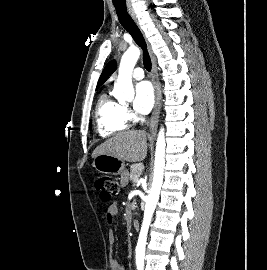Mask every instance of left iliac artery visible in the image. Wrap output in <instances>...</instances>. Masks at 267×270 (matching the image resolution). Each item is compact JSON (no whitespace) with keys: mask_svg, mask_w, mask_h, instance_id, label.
I'll use <instances>...</instances> for the list:
<instances>
[{"mask_svg":"<svg viewBox=\"0 0 267 270\" xmlns=\"http://www.w3.org/2000/svg\"><path fill=\"white\" fill-rule=\"evenodd\" d=\"M137 268L138 270H143V265H139Z\"/></svg>","mask_w":267,"mask_h":270,"instance_id":"1","label":"left iliac artery"}]
</instances>
